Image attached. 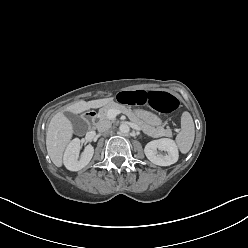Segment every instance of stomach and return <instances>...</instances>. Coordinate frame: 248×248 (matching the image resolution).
<instances>
[{
    "instance_id": "obj_1",
    "label": "stomach",
    "mask_w": 248,
    "mask_h": 248,
    "mask_svg": "<svg viewBox=\"0 0 248 248\" xmlns=\"http://www.w3.org/2000/svg\"><path fill=\"white\" fill-rule=\"evenodd\" d=\"M135 114L139 119H141L148 125L159 126L161 124V120L151 112L138 109L135 111Z\"/></svg>"
}]
</instances>
